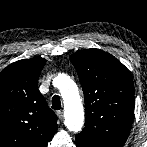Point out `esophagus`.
<instances>
[{"label":"esophagus","mask_w":147,"mask_h":147,"mask_svg":"<svg viewBox=\"0 0 147 147\" xmlns=\"http://www.w3.org/2000/svg\"><path fill=\"white\" fill-rule=\"evenodd\" d=\"M57 116H58V118H59V120H63V112L62 111H57Z\"/></svg>","instance_id":"esophagus-1"}]
</instances>
